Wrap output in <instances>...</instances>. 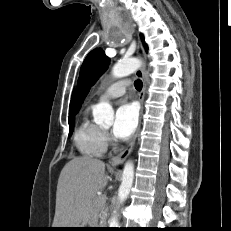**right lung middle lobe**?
I'll return each instance as SVG.
<instances>
[{
	"label": "right lung middle lobe",
	"instance_id": "dd1d6c3e",
	"mask_svg": "<svg viewBox=\"0 0 231 231\" xmlns=\"http://www.w3.org/2000/svg\"><path fill=\"white\" fill-rule=\"evenodd\" d=\"M69 127H70L69 135H71L73 132V128H74V118L69 119Z\"/></svg>",
	"mask_w": 231,
	"mask_h": 231
}]
</instances>
